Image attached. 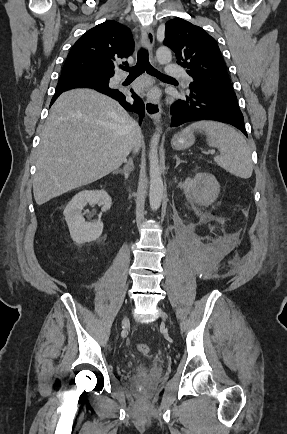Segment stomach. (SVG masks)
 I'll use <instances>...</instances> for the list:
<instances>
[{
    "mask_svg": "<svg viewBox=\"0 0 287 434\" xmlns=\"http://www.w3.org/2000/svg\"><path fill=\"white\" fill-rule=\"evenodd\" d=\"M195 138L192 132H181L171 140V145L175 150H184L194 144Z\"/></svg>",
    "mask_w": 287,
    "mask_h": 434,
    "instance_id": "stomach-1",
    "label": "stomach"
}]
</instances>
